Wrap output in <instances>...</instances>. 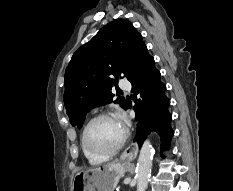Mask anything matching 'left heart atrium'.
I'll return each instance as SVG.
<instances>
[{"instance_id":"obj_1","label":"left heart atrium","mask_w":233,"mask_h":191,"mask_svg":"<svg viewBox=\"0 0 233 191\" xmlns=\"http://www.w3.org/2000/svg\"><path fill=\"white\" fill-rule=\"evenodd\" d=\"M118 121H119V123L121 124V126L125 129V125H126V120H125V118L121 117Z\"/></svg>"}]
</instances>
